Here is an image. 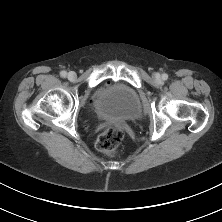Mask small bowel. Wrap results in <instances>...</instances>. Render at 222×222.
<instances>
[{
    "label": "small bowel",
    "instance_id": "small-bowel-1",
    "mask_svg": "<svg viewBox=\"0 0 222 222\" xmlns=\"http://www.w3.org/2000/svg\"><path fill=\"white\" fill-rule=\"evenodd\" d=\"M105 90H106V89H103V90L101 91V93L104 92ZM93 98H95V95L93 96Z\"/></svg>",
    "mask_w": 222,
    "mask_h": 222
}]
</instances>
